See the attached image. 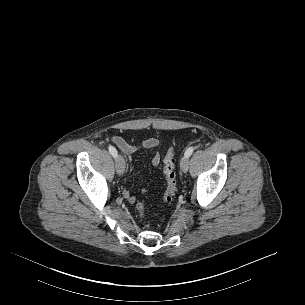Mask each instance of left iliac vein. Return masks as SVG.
<instances>
[{
    "label": "left iliac vein",
    "instance_id": "1",
    "mask_svg": "<svg viewBox=\"0 0 305 305\" xmlns=\"http://www.w3.org/2000/svg\"><path fill=\"white\" fill-rule=\"evenodd\" d=\"M180 168L184 173H186L188 171V168H189L188 157H186V156L182 157V159L180 161Z\"/></svg>",
    "mask_w": 305,
    "mask_h": 305
}]
</instances>
